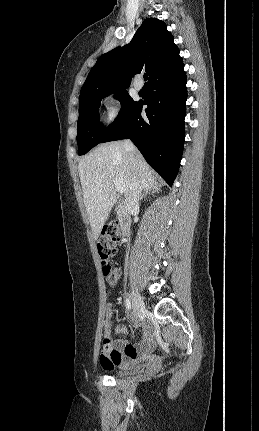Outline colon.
Instances as JSON below:
<instances>
[{
	"mask_svg": "<svg viewBox=\"0 0 259 431\" xmlns=\"http://www.w3.org/2000/svg\"><path fill=\"white\" fill-rule=\"evenodd\" d=\"M121 234V230L116 224L109 223L103 227L97 242L98 254L103 264V275L112 285L116 284L121 277L120 269L109 263L117 252L116 246L121 240Z\"/></svg>",
	"mask_w": 259,
	"mask_h": 431,
	"instance_id": "1",
	"label": "colon"
}]
</instances>
